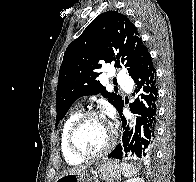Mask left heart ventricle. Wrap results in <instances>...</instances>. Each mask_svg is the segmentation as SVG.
Returning a JSON list of instances; mask_svg holds the SVG:
<instances>
[{
  "instance_id": "obj_1",
  "label": "left heart ventricle",
  "mask_w": 196,
  "mask_h": 182,
  "mask_svg": "<svg viewBox=\"0 0 196 182\" xmlns=\"http://www.w3.org/2000/svg\"><path fill=\"white\" fill-rule=\"evenodd\" d=\"M110 128L103 118L91 117L85 120L78 128L75 143L86 153L101 150L108 142Z\"/></svg>"
}]
</instances>
